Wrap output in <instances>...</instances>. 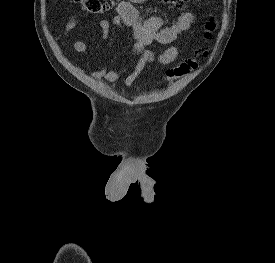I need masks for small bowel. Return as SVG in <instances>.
<instances>
[{"mask_svg": "<svg viewBox=\"0 0 275 263\" xmlns=\"http://www.w3.org/2000/svg\"><path fill=\"white\" fill-rule=\"evenodd\" d=\"M147 0H122L116 6V15L110 21L102 19L100 21L101 38L104 42L108 40L112 25L120 30L130 29L132 31L133 43L132 51L139 55L134 70L129 74L123 84L131 86L141 75L147 65L152 64L156 57L154 53L147 49L152 43L170 45L175 42L178 36L188 30L194 21V15L191 11L182 13L177 21L169 26H164L163 18L159 14H154L148 18L141 17L135 7V3H142ZM76 26V18L73 17L66 25L65 31L68 33ZM72 48L78 53H87L88 46L83 41H75ZM179 54V48L171 45L166 48L157 58L161 65H168L175 61ZM128 71V67L108 69L102 66L99 70L90 73V76L96 80H105L109 83L117 82Z\"/></svg>", "mask_w": 275, "mask_h": 263, "instance_id": "c3829d8e", "label": "small bowel"}]
</instances>
